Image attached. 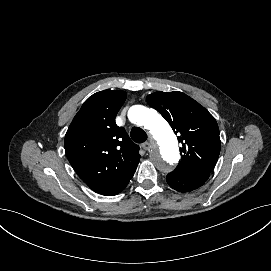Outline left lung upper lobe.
Listing matches in <instances>:
<instances>
[{
  "label": "left lung upper lobe",
  "mask_w": 271,
  "mask_h": 271,
  "mask_svg": "<svg viewBox=\"0 0 271 271\" xmlns=\"http://www.w3.org/2000/svg\"><path fill=\"white\" fill-rule=\"evenodd\" d=\"M148 104L169 122L178 140L182 157L173 172L209 176L220 153L219 128L214 117L198 102L178 91L155 92Z\"/></svg>",
  "instance_id": "1"
}]
</instances>
